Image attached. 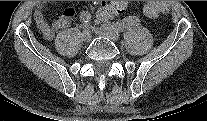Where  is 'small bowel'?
Returning a JSON list of instances; mask_svg holds the SVG:
<instances>
[{"label":"small bowel","instance_id":"c3829d8e","mask_svg":"<svg viewBox=\"0 0 207 121\" xmlns=\"http://www.w3.org/2000/svg\"><path fill=\"white\" fill-rule=\"evenodd\" d=\"M101 5H111L114 6V14H119L121 13L125 6V2H109V1H103ZM46 8V3L45 2H40L37 5V8L34 13V21L36 23V26L38 30L41 32L43 37L46 40H52L55 36V34L61 30L64 29L69 25V23L72 21L75 15V9L72 7H68L64 10V13L55 19L52 24H49L44 16V11ZM112 15V16H113Z\"/></svg>","mask_w":207,"mask_h":121}]
</instances>
